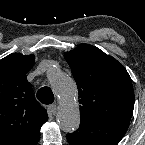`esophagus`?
<instances>
[{
	"label": "esophagus",
	"mask_w": 145,
	"mask_h": 145,
	"mask_svg": "<svg viewBox=\"0 0 145 145\" xmlns=\"http://www.w3.org/2000/svg\"><path fill=\"white\" fill-rule=\"evenodd\" d=\"M48 108H49L50 112H51L53 115L56 114V112H57V106H56V104H51V105L48 106Z\"/></svg>",
	"instance_id": "1"
}]
</instances>
